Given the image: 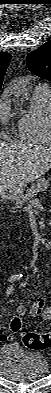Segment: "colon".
Wrapping results in <instances>:
<instances>
[{"mask_svg":"<svg viewBox=\"0 0 51 393\" xmlns=\"http://www.w3.org/2000/svg\"><path fill=\"white\" fill-rule=\"evenodd\" d=\"M36 308H41L42 302L36 303ZM22 321L19 317H14L10 321V329L12 332L20 330ZM23 344L27 349L42 351L50 348L51 337L49 334L28 333L23 338Z\"/></svg>","mask_w":51,"mask_h":393,"instance_id":"1","label":"colon"}]
</instances>
